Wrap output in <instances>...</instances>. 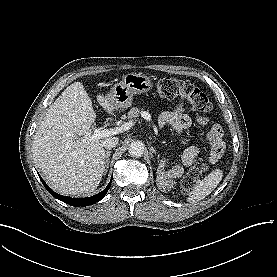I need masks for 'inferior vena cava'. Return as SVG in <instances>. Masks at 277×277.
<instances>
[{"mask_svg": "<svg viewBox=\"0 0 277 277\" xmlns=\"http://www.w3.org/2000/svg\"><path fill=\"white\" fill-rule=\"evenodd\" d=\"M118 142H119V139L117 137H109V138L105 139L103 146L106 149L110 150V149L116 147Z\"/></svg>", "mask_w": 277, "mask_h": 277, "instance_id": "inferior-vena-cava-1", "label": "inferior vena cava"}]
</instances>
